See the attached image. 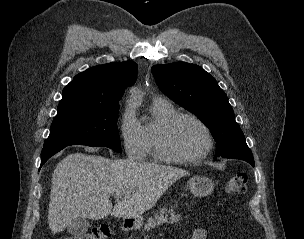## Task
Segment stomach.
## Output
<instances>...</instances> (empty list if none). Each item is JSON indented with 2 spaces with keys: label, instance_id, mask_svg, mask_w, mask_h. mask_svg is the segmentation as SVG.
<instances>
[{
  "label": "stomach",
  "instance_id": "1",
  "mask_svg": "<svg viewBox=\"0 0 304 239\" xmlns=\"http://www.w3.org/2000/svg\"><path fill=\"white\" fill-rule=\"evenodd\" d=\"M188 187L191 193L197 197H205L211 194L214 189V183L211 179L205 176H194L190 178L188 182ZM132 229H140L143 225V218L137 217L131 219Z\"/></svg>",
  "mask_w": 304,
  "mask_h": 239
}]
</instances>
